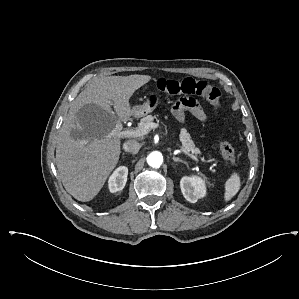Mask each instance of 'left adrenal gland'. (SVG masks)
Wrapping results in <instances>:
<instances>
[{
  "instance_id": "obj_1",
  "label": "left adrenal gland",
  "mask_w": 299,
  "mask_h": 299,
  "mask_svg": "<svg viewBox=\"0 0 299 299\" xmlns=\"http://www.w3.org/2000/svg\"><path fill=\"white\" fill-rule=\"evenodd\" d=\"M173 161L174 162H182V163L186 164V162L184 160L180 159L179 157H175V156H173Z\"/></svg>"
}]
</instances>
